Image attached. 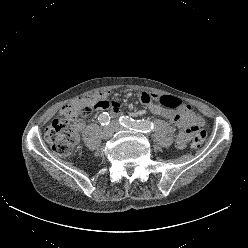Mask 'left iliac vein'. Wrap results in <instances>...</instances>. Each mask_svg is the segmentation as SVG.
I'll use <instances>...</instances> for the list:
<instances>
[{
    "label": "left iliac vein",
    "mask_w": 248,
    "mask_h": 248,
    "mask_svg": "<svg viewBox=\"0 0 248 248\" xmlns=\"http://www.w3.org/2000/svg\"><path fill=\"white\" fill-rule=\"evenodd\" d=\"M111 126L114 128L115 131H122V130L125 129V128H124L122 125H120L117 121H113V122L111 123Z\"/></svg>",
    "instance_id": "1"
}]
</instances>
